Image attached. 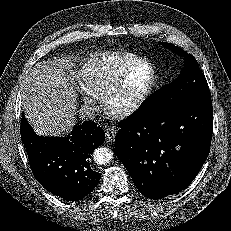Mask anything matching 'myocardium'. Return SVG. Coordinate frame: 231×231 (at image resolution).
<instances>
[{"label": "myocardium", "mask_w": 231, "mask_h": 231, "mask_svg": "<svg viewBox=\"0 0 231 231\" xmlns=\"http://www.w3.org/2000/svg\"><path fill=\"white\" fill-rule=\"evenodd\" d=\"M147 65L151 70V78L144 90L131 102L123 106H115L114 98L123 89L129 76L140 66ZM157 83V71L154 64L145 58H141L126 68L116 79H114L101 95L102 107L106 114L113 118H126L137 112L152 94Z\"/></svg>", "instance_id": "obj_1"}]
</instances>
